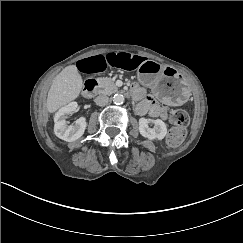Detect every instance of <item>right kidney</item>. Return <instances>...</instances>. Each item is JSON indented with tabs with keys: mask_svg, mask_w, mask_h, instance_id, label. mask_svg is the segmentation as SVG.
I'll return each mask as SVG.
<instances>
[{
	"mask_svg": "<svg viewBox=\"0 0 243 243\" xmlns=\"http://www.w3.org/2000/svg\"><path fill=\"white\" fill-rule=\"evenodd\" d=\"M77 108V103L72 102L66 107L59 110L54 118V131L55 134L62 140L66 142H73L81 138L87 128V119L85 116L79 117L75 124L69 126L66 123V119L70 114L75 112Z\"/></svg>",
	"mask_w": 243,
	"mask_h": 243,
	"instance_id": "1",
	"label": "right kidney"
}]
</instances>
